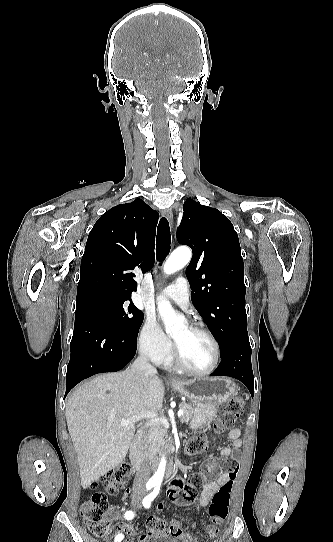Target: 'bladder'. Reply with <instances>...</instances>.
Masks as SVG:
<instances>
[{
    "label": "bladder",
    "mask_w": 333,
    "mask_h": 542,
    "mask_svg": "<svg viewBox=\"0 0 333 542\" xmlns=\"http://www.w3.org/2000/svg\"><path fill=\"white\" fill-rule=\"evenodd\" d=\"M150 542H179L176 538H174L172 535L163 534L155 537Z\"/></svg>",
    "instance_id": "bladder-1"
}]
</instances>
